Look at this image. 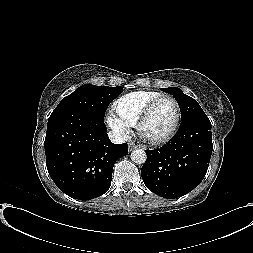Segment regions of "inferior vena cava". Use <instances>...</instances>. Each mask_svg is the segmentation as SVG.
Masks as SVG:
<instances>
[{
  "instance_id": "obj_1",
  "label": "inferior vena cava",
  "mask_w": 253,
  "mask_h": 253,
  "mask_svg": "<svg viewBox=\"0 0 253 253\" xmlns=\"http://www.w3.org/2000/svg\"><path fill=\"white\" fill-rule=\"evenodd\" d=\"M110 140L115 144H122L125 141H127V137L125 135H122L119 132L116 131H110L109 133Z\"/></svg>"
}]
</instances>
